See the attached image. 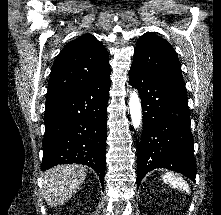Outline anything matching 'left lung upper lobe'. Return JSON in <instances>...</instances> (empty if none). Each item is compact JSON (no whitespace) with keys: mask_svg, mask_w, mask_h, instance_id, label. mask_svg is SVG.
<instances>
[{"mask_svg":"<svg viewBox=\"0 0 221 215\" xmlns=\"http://www.w3.org/2000/svg\"><path fill=\"white\" fill-rule=\"evenodd\" d=\"M132 65L161 79L184 86L181 66L173 47L152 32L139 38Z\"/></svg>","mask_w":221,"mask_h":215,"instance_id":"left-lung-upper-lobe-1","label":"left lung upper lobe"}]
</instances>
